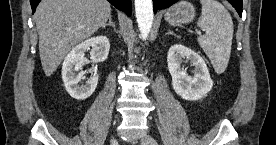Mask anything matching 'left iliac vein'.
Returning a JSON list of instances; mask_svg holds the SVG:
<instances>
[{"mask_svg":"<svg viewBox=\"0 0 276 145\" xmlns=\"http://www.w3.org/2000/svg\"><path fill=\"white\" fill-rule=\"evenodd\" d=\"M142 145H158L157 141L151 135H145L141 140Z\"/></svg>","mask_w":276,"mask_h":145,"instance_id":"left-iliac-vein-1","label":"left iliac vein"}]
</instances>
